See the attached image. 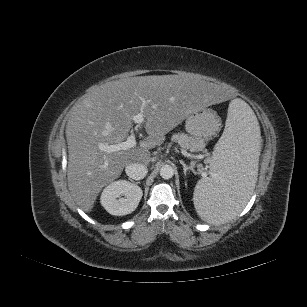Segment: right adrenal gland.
Wrapping results in <instances>:
<instances>
[{
  "label": "right adrenal gland",
  "mask_w": 307,
  "mask_h": 307,
  "mask_svg": "<svg viewBox=\"0 0 307 307\" xmlns=\"http://www.w3.org/2000/svg\"><path fill=\"white\" fill-rule=\"evenodd\" d=\"M131 182L135 183V184H140V182H135L132 179H129Z\"/></svg>",
  "instance_id": "obj_1"
}]
</instances>
